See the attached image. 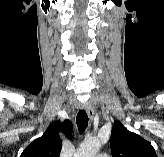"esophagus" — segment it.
Here are the masks:
<instances>
[{
    "label": "esophagus",
    "instance_id": "esophagus-1",
    "mask_svg": "<svg viewBox=\"0 0 164 157\" xmlns=\"http://www.w3.org/2000/svg\"><path fill=\"white\" fill-rule=\"evenodd\" d=\"M85 109H86L89 119L92 121L94 118V109H93L92 105L87 103L85 105Z\"/></svg>",
    "mask_w": 164,
    "mask_h": 157
}]
</instances>
